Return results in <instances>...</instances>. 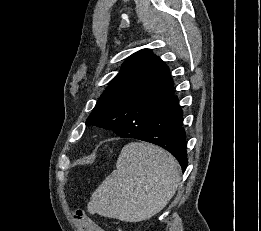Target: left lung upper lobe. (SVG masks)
Returning <instances> with one entry per match:
<instances>
[{"instance_id": "obj_1", "label": "left lung upper lobe", "mask_w": 261, "mask_h": 231, "mask_svg": "<svg viewBox=\"0 0 261 231\" xmlns=\"http://www.w3.org/2000/svg\"><path fill=\"white\" fill-rule=\"evenodd\" d=\"M166 64L150 49L131 55L110 81L86 125L112 130L120 137L143 133L177 97Z\"/></svg>"}]
</instances>
